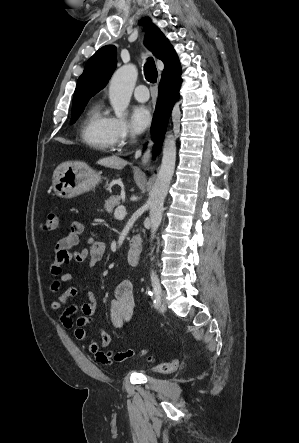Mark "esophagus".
<instances>
[{
  "mask_svg": "<svg viewBox=\"0 0 299 443\" xmlns=\"http://www.w3.org/2000/svg\"><path fill=\"white\" fill-rule=\"evenodd\" d=\"M152 145H153V141L150 138L149 139V144H148V149H147V151L145 152V154H144V156L142 158V162L144 164H146L148 162L149 158H150V151H151L150 149H151Z\"/></svg>",
  "mask_w": 299,
  "mask_h": 443,
  "instance_id": "obj_1",
  "label": "esophagus"
}]
</instances>
